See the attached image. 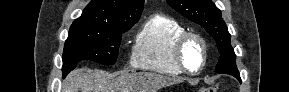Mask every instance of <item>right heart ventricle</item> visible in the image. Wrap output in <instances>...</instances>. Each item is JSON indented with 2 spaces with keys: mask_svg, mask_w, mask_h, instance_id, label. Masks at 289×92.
<instances>
[{
  "mask_svg": "<svg viewBox=\"0 0 289 92\" xmlns=\"http://www.w3.org/2000/svg\"><path fill=\"white\" fill-rule=\"evenodd\" d=\"M185 28L175 19L163 15H152L139 31L132 51L133 66L170 76L183 71L177 65L174 46Z\"/></svg>",
  "mask_w": 289,
  "mask_h": 92,
  "instance_id": "right-heart-ventricle-1",
  "label": "right heart ventricle"
}]
</instances>
